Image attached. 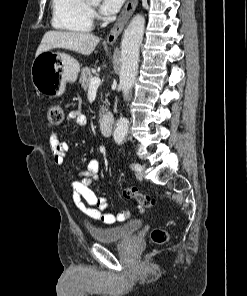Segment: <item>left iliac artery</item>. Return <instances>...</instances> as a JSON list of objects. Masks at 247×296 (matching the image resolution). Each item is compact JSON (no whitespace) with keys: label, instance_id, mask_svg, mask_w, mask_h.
I'll return each instance as SVG.
<instances>
[{"label":"left iliac artery","instance_id":"1","mask_svg":"<svg viewBox=\"0 0 247 296\" xmlns=\"http://www.w3.org/2000/svg\"><path fill=\"white\" fill-rule=\"evenodd\" d=\"M131 168H132L133 170L138 171V170H141V165H139V164H133V165L131 166Z\"/></svg>","mask_w":247,"mask_h":296}]
</instances>
